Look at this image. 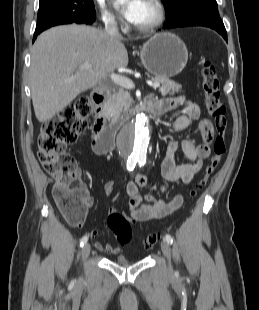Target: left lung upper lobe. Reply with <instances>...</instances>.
<instances>
[{"label":"left lung upper lobe","mask_w":259,"mask_h":310,"mask_svg":"<svg viewBox=\"0 0 259 310\" xmlns=\"http://www.w3.org/2000/svg\"><path fill=\"white\" fill-rule=\"evenodd\" d=\"M168 12L166 26L192 19L221 22L216 0H163Z\"/></svg>","instance_id":"5c2ea615"}]
</instances>
